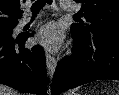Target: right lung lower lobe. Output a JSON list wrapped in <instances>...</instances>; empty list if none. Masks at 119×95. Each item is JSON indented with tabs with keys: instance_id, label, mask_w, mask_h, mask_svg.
I'll return each mask as SVG.
<instances>
[{
	"instance_id": "1",
	"label": "right lung lower lobe",
	"mask_w": 119,
	"mask_h": 95,
	"mask_svg": "<svg viewBox=\"0 0 119 95\" xmlns=\"http://www.w3.org/2000/svg\"><path fill=\"white\" fill-rule=\"evenodd\" d=\"M28 37H0V83L25 93L46 95L45 53L39 45L25 48Z\"/></svg>"
}]
</instances>
